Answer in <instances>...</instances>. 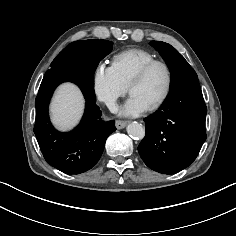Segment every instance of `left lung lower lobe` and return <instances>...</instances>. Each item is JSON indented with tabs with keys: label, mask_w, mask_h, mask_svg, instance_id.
Segmentation results:
<instances>
[{
	"label": "left lung lower lobe",
	"mask_w": 236,
	"mask_h": 236,
	"mask_svg": "<svg viewBox=\"0 0 236 236\" xmlns=\"http://www.w3.org/2000/svg\"><path fill=\"white\" fill-rule=\"evenodd\" d=\"M206 113L197 77L173 87L161 108L144 120L146 135L138 146L144 163L163 174L192 164L206 140Z\"/></svg>",
	"instance_id": "0a47b994"
}]
</instances>
